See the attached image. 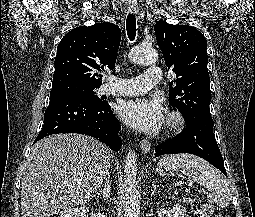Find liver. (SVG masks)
<instances>
[{
	"label": "liver",
	"mask_w": 255,
	"mask_h": 217,
	"mask_svg": "<svg viewBox=\"0 0 255 217\" xmlns=\"http://www.w3.org/2000/svg\"><path fill=\"white\" fill-rule=\"evenodd\" d=\"M106 145L82 134H58L37 142L21 188L22 217H50L92 200L110 169Z\"/></svg>",
	"instance_id": "liver-1"
}]
</instances>
